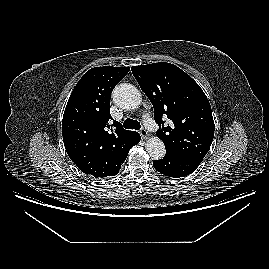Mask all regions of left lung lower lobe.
Listing matches in <instances>:
<instances>
[{
  "mask_svg": "<svg viewBox=\"0 0 269 269\" xmlns=\"http://www.w3.org/2000/svg\"><path fill=\"white\" fill-rule=\"evenodd\" d=\"M203 159L194 157H178L166 154L163 159L153 162L154 168L169 177H184L196 170Z\"/></svg>",
  "mask_w": 269,
  "mask_h": 269,
  "instance_id": "left-lung-lower-lobe-1",
  "label": "left lung lower lobe"
}]
</instances>
